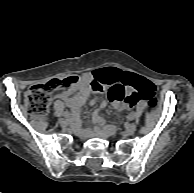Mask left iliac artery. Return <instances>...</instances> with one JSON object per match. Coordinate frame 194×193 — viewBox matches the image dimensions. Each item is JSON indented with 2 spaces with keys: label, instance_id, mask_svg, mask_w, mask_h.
<instances>
[{
  "label": "left iliac artery",
  "instance_id": "1",
  "mask_svg": "<svg viewBox=\"0 0 194 193\" xmlns=\"http://www.w3.org/2000/svg\"><path fill=\"white\" fill-rule=\"evenodd\" d=\"M127 118H128V120H132L133 119V114H129Z\"/></svg>",
  "mask_w": 194,
  "mask_h": 193
}]
</instances>
